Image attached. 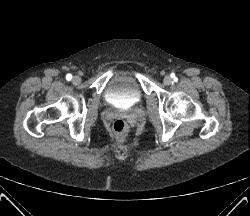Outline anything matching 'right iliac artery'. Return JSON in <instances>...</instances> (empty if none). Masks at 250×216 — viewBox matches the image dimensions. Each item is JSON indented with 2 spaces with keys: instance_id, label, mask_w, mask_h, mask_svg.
<instances>
[{
  "instance_id": "1",
  "label": "right iliac artery",
  "mask_w": 250,
  "mask_h": 216,
  "mask_svg": "<svg viewBox=\"0 0 250 216\" xmlns=\"http://www.w3.org/2000/svg\"><path fill=\"white\" fill-rule=\"evenodd\" d=\"M66 79H67L68 81H70V80L72 79V75H71V74H67V75H66Z\"/></svg>"
}]
</instances>
